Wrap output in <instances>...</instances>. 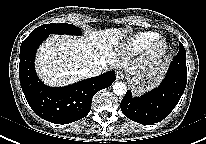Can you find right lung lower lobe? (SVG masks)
I'll use <instances>...</instances> for the list:
<instances>
[{
  "label": "right lung lower lobe",
  "instance_id": "1",
  "mask_svg": "<svg viewBox=\"0 0 206 144\" xmlns=\"http://www.w3.org/2000/svg\"><path fill=\"white\" fill-rule=\"evenodd\" d=\"M48 36L45 33H31L22 42L20 83L27 102L39 117L55 124H68L87 116L93 96L115 81V73L109 71L66 87L44 85L35 72L34 58L37 48Z\"/></svg>",
  "mask_w": 206,
  "mask_h": 144
}]
</instances>
